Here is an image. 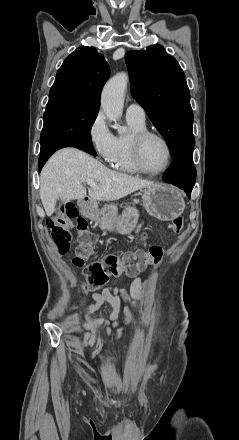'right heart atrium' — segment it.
Here are the masks:
<instances>
[{"label":"right heart atrium","instance_id":"right-heart-atrium-1","mask_svg":"<svg viewBox=\"0 0 239 440\" xmlns=\"http://www.w3.org/2000/svg\"><path fill=\"white\" fill-rule=\"evenodd\" d=\"M88 141L105 162H112L117 153V137L110 130L103 112L98 111L87 128Z\"/></svg>","mask_w":239,"mask_h":440}]
</instances>
